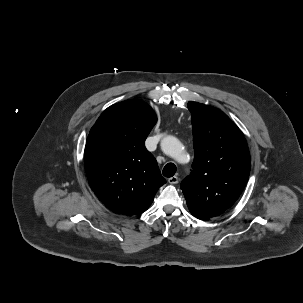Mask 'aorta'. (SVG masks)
<instances>
[{
    "mask_svg": "<svg viewBox=\"0 0 303 303\" xmlns=\"http://www.w3.org/2000/svg\"><path fill=\"white\" fill-rule=\"evenodd\" d=\"M181 147L179 140L173 136H167L161 141L163 152L172 156H175Z\"/></svg>",
    "mask_w": 303,
    "mask_h": 303,
    "instance_id": "762f6f07",
    "label": "aorta"
}]
</instances>
